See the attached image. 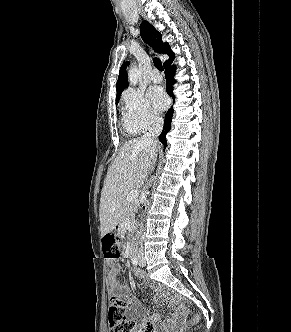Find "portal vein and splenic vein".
<instances>
[{"mask_svg":"<svg viewBox=\"0 0 291 332\" xmlns=\"http://www.w3.org/2000/svg\"><path fill=\"white\" fill-rule=\"evenodd\" d=\"M138 196H139L138 190H132L127 194L126 200L131 203L136 201Z\"/></svg>","mask_w":291,"mask_h":332,"instance_id":"obj_1","label":"portal vein and splenic vein"}]
</instances>
